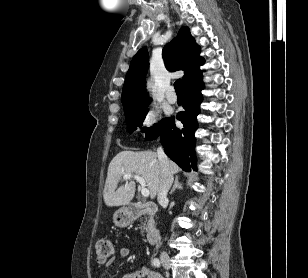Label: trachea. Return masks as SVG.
<instances>
[{"label": "trachea", "mask_w": 308, "mask_h": 278, "mask_svg": "<svg viewBox=\"0 0 308 278\" xmlns=\"http://www.w3.org/2000/svg\"><path fill=\"white\" fill-rule=\"evenodd\" d=\"M174 88L177 94H183V84L181 79H178L175 83H174Z\"/></svg>", "instance_id": "obj_1"}]
</instances>
